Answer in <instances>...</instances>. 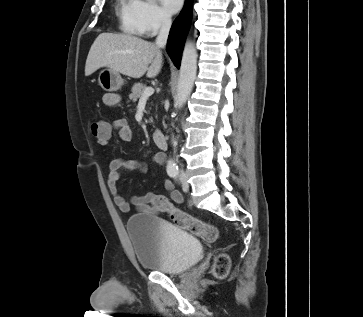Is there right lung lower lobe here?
<instances>
[{"label": "right lung lower lobe", "mask_w": 363, "mask_h": 317, "mask_svg": "<svg viewBox=\"0 0 363 317\" xmlns=\"http://www.w3.org/2000/svg\"><path fill=\"white\" fill-rule=\"evenodd\" d=\"M191 4L192 0H187L183 11L173 22L168 38L167 51L177 68L180 66L185 38L190 27Z\"/></svg>", "instance_id": "1"}]
</instances>
